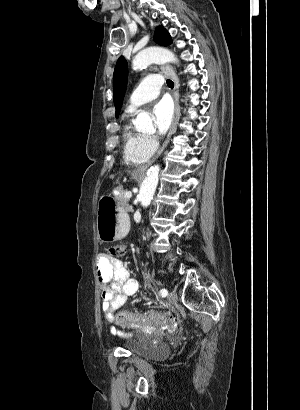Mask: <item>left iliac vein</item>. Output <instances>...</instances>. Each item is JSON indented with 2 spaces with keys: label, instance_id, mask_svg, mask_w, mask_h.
Returning a JSON list of instances; mask_svg holds the SVG:
<instances>
[{
  "label": "left iliac vein",
  "instance_id": "4c4485c4",
  "mask_svg": "<svg viewBox=\"0 0 300 410\" xmlns=\"http://www.w3.org/2000/svg\"><path fill=\"white\" fill-rule=\"evenodd\" d=\"M167 298H168V301L170 303H175L178 300V296H177L176 292H174V291L169 292Z\"/></svg>",
  "mask_w": 300,
  "mask_h": 410
}]
</instances>
